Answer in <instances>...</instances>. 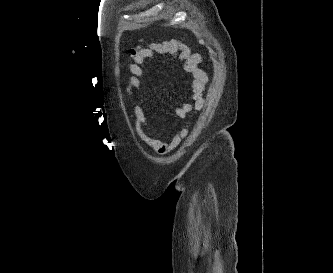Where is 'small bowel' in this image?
<instances>
[{
  "label": "small bowel",
  "mask_w": 333,
  "mask_h": 273,
  "mask_svg": "<svg viewBox=\"0 0 333 273\" xmlns=\"http://www.w3.org/2000/svg\"><path fill=\"white\" fill-rule=\"evenodd\" d=\"M168 54L172 59H178L184 63V69L192 76L191 94L193 106L182 104L176 110L178 117L183 118L187 112L194 107L199 109L203 105V92L208 81L207 74L199 68L201 56L191 52L190 48L177 39L166 40L162 42H149L139 45L130 50L132 62L129 66V77L126 85V93L131 96L134 92L139 93L142 90V82L145 77V61L156 55ZM134 130L137 136L153 150L163 155L171 150L177 138L170 142H164L148 126L147 116L143 105L136 102L134 105Z\"/></svg>",
  "instance_id": "c3829d8e"
}]
</instances>
